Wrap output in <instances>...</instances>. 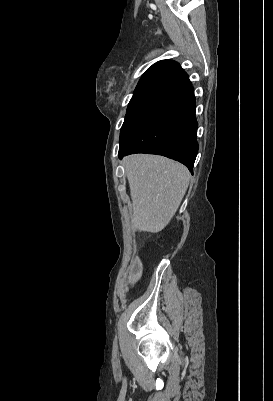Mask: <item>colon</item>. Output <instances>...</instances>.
<instances>
[{
	"label": "colon",
	"mask_w": 273,
	"mask_h": 401,
	"mask_svg": "<svg viewBox=\"0 0 273 401\" xmlns=\"http://www.w3.org/2000/svg\"><path fill=\"white\" fill-rule=\"evenodd\" d=\"M145 264V259H138V261H133L131 263V270L130 273L134 278H125L122 281L123 286L125 287H136L138 284L139 280V275L141 273V270L144 268Z\"/></svg>",
	"instance_id": "5ec220e1"
}]
</instances>
